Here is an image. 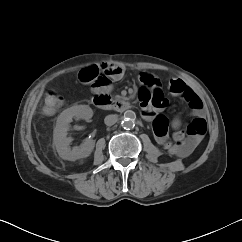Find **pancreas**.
Wrapping results in <instances>:
<instances>
[{
  "label": "pancreas",
  "mask_w": 242,
  "mask_h": 242,
  "mask_svg": "<svg viewBox=\"0 0 242 242\" xmlns=\"http://www.w3.org/2000/svg\"><path fill=\"white\" fill-rule=\"evenodd\" d=\"M120 98H121V96H119V95L116 96V99H120Z\"/></svg>",
  "instance_id": "obj_1"
}]
</instances>
